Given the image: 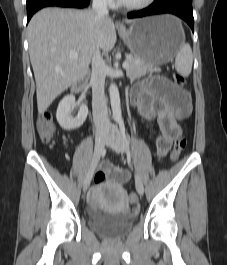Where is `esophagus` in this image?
<instances>
[{
    "instance_id": "34e87169",
    "label": "esophagus",
    "mask_w": 227,
    "mask_h": 265,
    "mask_svg": "<svg viewBox=\"0 0 227 265\" xmlns=\"http://www.w3.org/2000/svg\"><path fill=\"white\" fill-rule=\"evenodd\" d=\"M116 25H117V27L120 28V29H122V28L124 27L123 23L120 22V21H118V22L116 23Z\"/></svg>"
}]
</instances>
